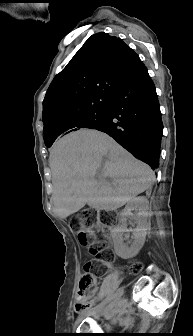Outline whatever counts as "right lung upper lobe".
Masks as SVG:
<instances>
[{"label":"right lung upper lobe","mask_w":193,"mask_h":336,"mask_svg":"<svg viewBox=\"0 0 193 336\" xmlns=\"http://www.w3.org/2000/svg\"><path fill=\"white\" fill-rule=\"evenodd\" d=\"M140 63L120 38L103 32L89 37L47 90L44 140L72 132L80 116L107 108Z\"/></svg>","instance_id":"cb5924a9"}]
</instances>
